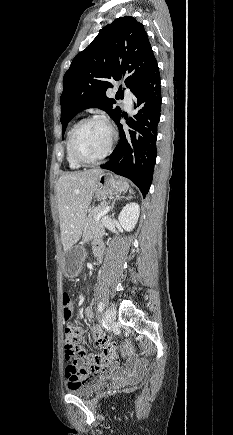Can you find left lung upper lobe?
<instances>
[{
  "label": "left lung upper lobe",
  "mask_w": 233,
  "mask_h": 435,
  "mask_svg": "<svg viewBox=\"0 0 233 435\" xmlns=\"http://www.w3.org/2000/svg\"><path fill=\"white\" fill-rule=\"evenodd\" d=\"M155 65L143 24L125 16L106 25L91 44L76 55L64 75L60 97L62 136L72 118L86 108H101L115 121L121 109L113 107L116 102L106 96L107 89L113 87L114 80L123 79L133 92ZM121 95L123 98V92Z\"/></svg>",
  "instance_id": "5c2ea615"
}]
</instances>
